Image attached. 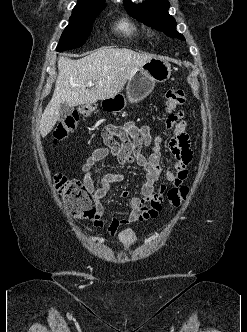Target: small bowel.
<instances>
[{
    "label": "small bowel",
    "instance_id": "small-bowel-1",
    "mask_svg": "<svg viewBox=\"0 0 247 332\" xmlns=\"http://www.w3.org/2000/svg\"><path fill=\"white\" fill-rule=\"evenodd\" d=\"M184 114L178 112L171 121L174 126V134L169 142V149L176 161L172 168L165 173L166 180L179 188L188 175L187 167L192 161V139L187 133V124L183 119ZM104 147H97L86 158L82 166L83 182L86 190L92 195L96 205L95 227H107L108 236H114L121 226L134 222L156 219L164 202V195L168 188L165 185L157 186L162 173L160 160L162 155V138L153 135L147 125L138 126L129 121L123 126L109 125L102 133ZM120 139V142L115 140ZM150 148V154L145 155L144 150ZM113 157L120 165L128 166L136 164L146 174V182L141 188V196L130 199L131 212L128 216L117 219L105 218L103 198L109 191L110 185L124 180L122 172H102L101 183L96 186L93 180V166L107 157ZM121 197H128L127 191L121 192Z\"/></svg>",
    "mask_w": 247,
    "mask_h": 332
}]
</instances>
